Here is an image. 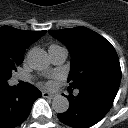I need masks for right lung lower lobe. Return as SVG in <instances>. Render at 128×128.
I'll use <instances>...</instances> for the list:
<instances>
[{
    "mask_svg": "<svg viewBox=\"0 0 128 128\" xmlns=\"http://www.w3.org/2000/svg\"><path fill=\"white\" fill-rule=\"evenodd\" d=\"M42 93L27 83L21 90L8 83L0 85V128H14L28 117L34 101Z\"/></svg>",
    "mask_w": 128,
    "mask_h": 128,
    "instance_id": "right-lung-lower-lobe-1",
    "label": "right lung lower lobe"
}]
</instances>
